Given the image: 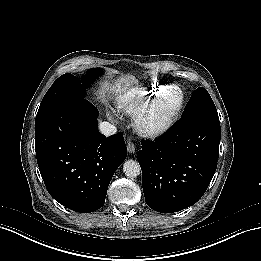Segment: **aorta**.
Returning <instances> with one entry per match:
<instances>
[{"label":"aorta","mask_w":261,"mask_h":261,"mask_svg":"<svg viewBox=\"0 0 261 261\" xmlns=\"http://www.w3.org/2000/svg\"><path fill=\"white\" fill-rule=\"evenodd\" d=\"M123 172L129 178H136L141 174V167L135 160H126L123 164Z\"/></svg>","instance_id":"762f6f07"}]
</instances>
